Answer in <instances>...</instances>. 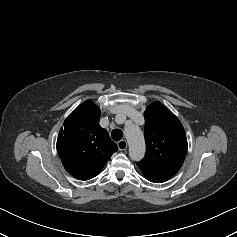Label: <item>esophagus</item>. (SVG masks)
Returning <instances> with one entry per match:
<instances>
[{"mask_svg":"<svg viewBox=\"0 0 237 237\" xmlns=\"http://www.w3.org/2000/svg\"><path fill=\"white\" fill-rule=\"evenodd\" d=\"M117 146H118L119 150H121V151L126 150L127 149V142H126V140H120L117 143Z\"/></svg>","mask_w":237,"mask_h":237,"instance_id":"1","label":"esophagus"}]
</instances>
